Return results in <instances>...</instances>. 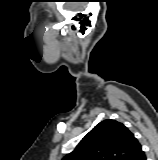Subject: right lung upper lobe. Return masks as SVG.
<instances>
[{
    "label": "right lung upper lobe",
    "mask_w": 158,
    "mask_h": 160,
    "mask_svg": "<svg viewBox=\"0 0 158 160\" xmlns=\"http://www.w3.org/2000/svg\"><path fill=\"white\" fill-rule=\"evenodd\" d=\"M141 151L127 127L108 119L97 124L62 160H133Z\"/></svg>",
    "instance_id": "cb5924a9"
}]
</instances>
